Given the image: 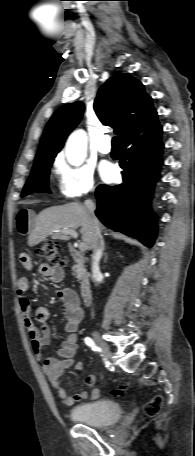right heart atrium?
Segmentation results:
<instances>
[{
  "instance_id": "right-heart-atrium-1",
  "label": "right heart atrium",
  "mask_w": 195,
  "mask_h": 456,
  "mask_svg": "<svg viewBox=\"0 0 195 456\" xmlns=\"http://www.w3.org/2000/svg\"><path fill=\"white\" fill-rule=\"evenodd\" d=\"M54 171L58 181V192L63 198H79L95 189L93 170L88 166H73L63 158H58L54 164Z\"/></svg>"
}]
</instances>
